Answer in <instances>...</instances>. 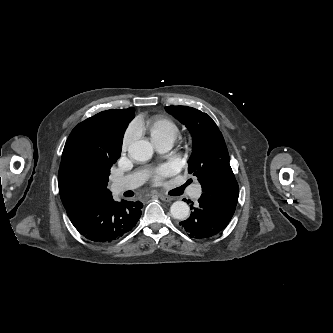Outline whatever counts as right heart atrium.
Listing matches in <instances>:
<instances>
[{
  "label": "right heart atrium",
  "mask_w": 333,
  "mask_h": 333,
  "mask_svg": "<svg viewBox=\"0 0 333 333\" xmlns=\"http://www.w3.org/2000/svg\"><path fill=\"white\" fill-rule=\"evenodd\" d=\"M140 130H139V125L137 122H132L123 137V144L122 148L123 150H126L132 142H134L138 136H139Z\"/></svg>",
  "instance_id": "d8ad5b80"
}]
</instances>
